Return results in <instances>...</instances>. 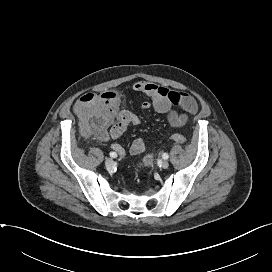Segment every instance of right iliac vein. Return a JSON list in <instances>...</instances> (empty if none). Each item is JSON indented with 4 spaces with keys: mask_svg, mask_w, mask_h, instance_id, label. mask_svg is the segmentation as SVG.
I'll return each mask as SVG.
<instances>
[{
    "mask_svg": "<svg viewBox=\"0 0 272 272\" xmlns=\"http://www.w3.org/2000/svg\"><path fill=\"white\" fill-rule=\"evenodd\" d=\"M105 165L107 168H110L113 165V160L111 158H107L105 161Z\"/></svg>",
    "mask_w": 272,
    "mask_h": 272,
    "instance_id": "1",
    "label": "right iliac vein"
}]
</instances>
